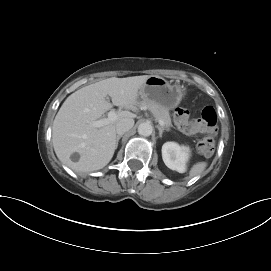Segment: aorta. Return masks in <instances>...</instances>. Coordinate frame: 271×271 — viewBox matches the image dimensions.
<instances>
[{"label": "aorta", "instance_id": "aorta-1", "mask_svg": "<svg viewBox=\"0 0 271 271\" xmlns=\"http://www.w3.org/2000/svg\"><path fill=\"white\" fill-rule=\"evenodd\" d=\"M153 127L149 122H143L138 126V133L141 136H150L152 134Z\"/></svg>", "mask_w": 271, "mask_h": 271}]
</instances>
